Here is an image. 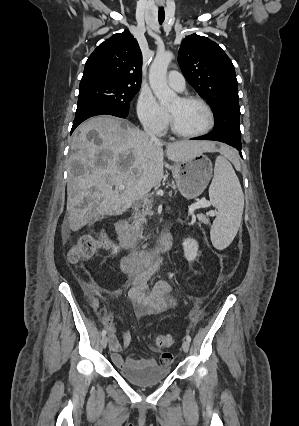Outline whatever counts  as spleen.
Returning <instances> with one entry per match:
<instances>
[{"instance_id":"1","label":"spleen","mask_w":299,"mask_h":426,"mask_svg":"<svg viewBox=\"0 0 299 426\" xmlns=\"http://www.w3.org/2000/svg\"><path fill=\"white\" fill-rule=\"evenodd\" d=\"M209 197L218 214L211 227V241L218 250L230 245L242 220L244 195L239 179L228 159L218 156Z\"/></svg>"}]
</instances>
